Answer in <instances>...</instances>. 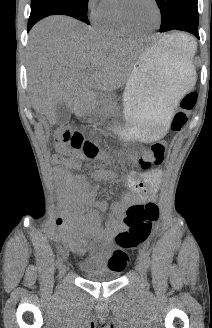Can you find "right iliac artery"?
Returning a JSON list of instances; mask_svg holds the SVG:
<instances>
[{"mask_svg": "<svg viewBox=\"0 0 212 328\" xmlns=\"http://www.w3.org/2000/svg\"><path fill=\"white\" fill-rule=\"evenodd\" d=\"M63 261H62V258L61 257H58L57 260H56V266L57 268H60L61 265H62Z\"/></svg>", "mask_w": 212, "mask_h": 328, "instance_id": "1", "label": "right iliac artery"}]
</instances>
